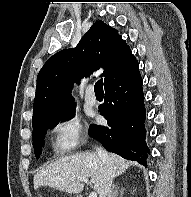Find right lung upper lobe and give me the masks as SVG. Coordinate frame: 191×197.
I'll use <instances>...</instances> for the list:
<instances>
[{
  "instance_id": "cb5924a9",
  "label": "right lung upper lobe",
  "mask_w": 191,
  "mask_h": 197,
  "mask_svg": "<svg viewBox=\"0 0 191 197\" xmlns=\"http://www.w3.org/2000/svg\"><path fill=\"white\" fill-rule=\"evenodd\" d=\"M138 66L118 31L95 22L76 48L62 50L48 59L37 77L32 126L75 106L73 83L103 68L104 86Z\"/></svg>"
}]
</instances>
